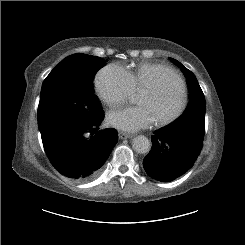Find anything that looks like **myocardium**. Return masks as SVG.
Listing matches in <instances>:
<instances>
[{
  "mask_svg": "<svg viewBox=\"0 0 245 245\" xmlns=\"http://www.w3.org/2000/svg\"><path fill=\"white\" fill-rule=\"evenodd\" d=\"M161 75H170L174 78V80L178 86L179 99H180L178 106L176 107V109L173 112H171L170 114H168L165 117H162V118L156 120V124L158 126H166V125L172 123L173 121H175L184 111V109L186 107V103H187V94H186L185 84H184L182 78L180 77V75L176 71H174L172 69H167V70L163 71L160 74V76ZM163 90H164V85L155 83V84L145 88L142 92L150 93L152 95H160L163 92Z\"/></svg>",
  "mask_w": 245,
  "mask_h": 245,
  "instance_id": "f54148a6",
  "label": "myocardium"
}]
</instances>
